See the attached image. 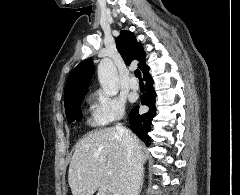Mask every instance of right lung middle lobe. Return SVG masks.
Returning a JSON list of instances; mask_svg holds the SVG:
<instances>
[{"instance_id":"1","label":"right lung middle lobe","mask_w":240,"mask_h":195,"mask_svg":"<svg viewBox=\"0 0 240 195\" xmlns=\"http://www.w3.org/2000/svg\"><path fill=\"white\" fill-rule=\"evenodd\" d=\"M82 101L83 98H79L65 106L66 117L69 123L82 119V113L80 109Z\"/></svg>"}]
</instances>
